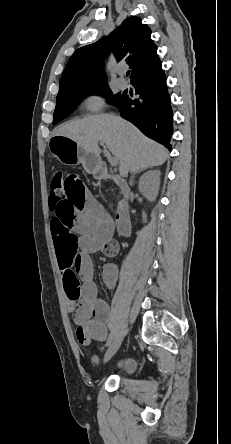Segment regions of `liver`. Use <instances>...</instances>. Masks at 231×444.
<instances>
[{"label": "liver", "mask_w": 231, "mask_h": 444, "mask_svg": "<svg viewBox=\"0 0 231 444\" xmlns=\"http://www.w3.org/2000/svg\"><path fill=\"white\" fill-rule=\"evenodd\" d=\"M62 135L75 141L85 151L100 157L98 143H103L119 162L122 176L150 166L162 165L168 150L144 136L128 121L112 115L100 114L61 124L53 136Z\"/></svg>", "instance_id": "6515ba94"}]
</instances>
